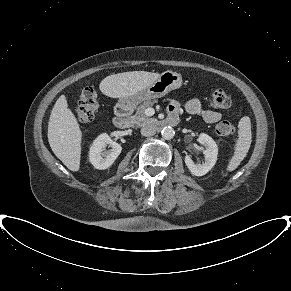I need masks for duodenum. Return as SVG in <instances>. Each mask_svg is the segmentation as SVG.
Returning <instances> with one entry per match:
<instances>
[{"instance_id":"obj_1","label":"duodenum","mask_w":291,"mask_h":291,"mask_svg":"<svg viewBox=\"0 0 291 291\" xmlns=\"http://www.w3.org/2000/svg\"><path fill=\"white\" fill-rule=\"evenodd\" d=\"M131 107L127 104H121L117 107L115 111V116L113 119V122L116 127L125 129L129 126V113H130ZM177 124V118L176 117H168L167 119L161 121L158 123L159 127H166V126H174Z\"/></svg>"}]
</instances>
